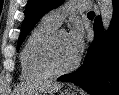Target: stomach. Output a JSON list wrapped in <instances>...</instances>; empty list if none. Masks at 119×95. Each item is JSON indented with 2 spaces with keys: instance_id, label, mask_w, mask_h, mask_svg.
Returning <instances> with one entry per match:
<instances>
[{
  "instance_id": "1",
  "label": "stomach",
  "mask_w": 119,
  "mask_h": 95,
  "mask_svg": "<svg viewBox=\"0 0 119 95\" xmlns=\"http://www.w3.org/2000/svg\"><path fill=\"white\" fill-rule=\"evenodd\" d=\"M60 95H77V93L73 90H65Z\"/></svg>"
}]
</instances>
